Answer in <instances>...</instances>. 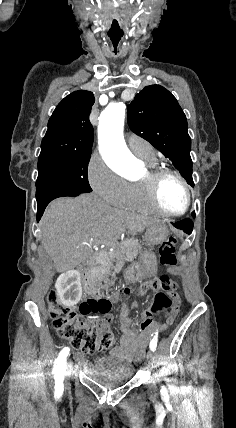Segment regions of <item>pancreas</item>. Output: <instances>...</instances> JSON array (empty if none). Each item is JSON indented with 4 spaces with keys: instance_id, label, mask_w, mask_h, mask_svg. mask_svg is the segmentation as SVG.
Returning <instances> with one entry per match:
<instances>
[{
    "instance_id": "1",
    "label": "pancreas",
    "mask_w": 236,
    "mask_h": 428,
    "mask_svg": "<svg viewBox=\"0 0 236 428\" xmlns=\"http://www.w3.org/2000/svg\"><path fill=\"white\" fill-rule=\"evenodd\" d=\"M141 250L139 240H133V238H126L122 244H115L114 252L111 254H104L97 260L96 274L99 280L103 282V288H109L110 280L109 274L112 266L119 264L123 266L124 262H133L137 258Z\"/></svg>"
}]
</instances>
